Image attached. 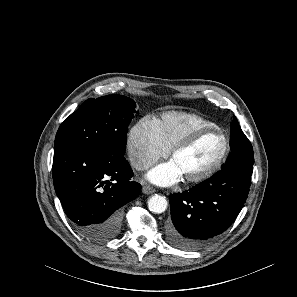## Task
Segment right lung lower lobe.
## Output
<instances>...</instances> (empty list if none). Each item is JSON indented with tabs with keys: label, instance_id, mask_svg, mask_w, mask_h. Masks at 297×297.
<instances>
[{
	"label": "right lung lower lobe",
	"instance_id": "1",
	"mask_svg": "<svg viewBox=\"0 0 297 297\" xmlns=\"http://www.w3.org/2000/svg\"><path fill=\"white\" fill-rule=\"evenodd\" d=\"M55 191L77 231L96 242L120 231L122 206L139 196L141 185L124 156L93 147L54 150Z\"/></svg>",
	"mask_w": 297,
	"mask_h": 297
}]
</instances>
